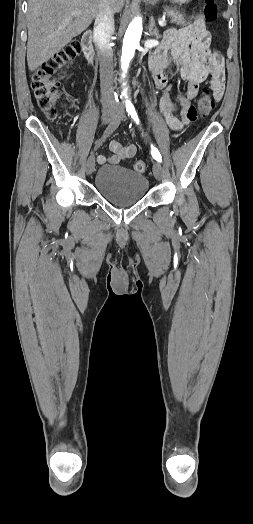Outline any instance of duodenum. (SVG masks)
<instances>
[{"label": "duodenum", "mask_w": 253, "mask_h": 524, "mask_svg": "<svg viewBox=\"0 0 253 524\" xmlns=\"http://www.w3.org/2000/svg\"><path fill=\"white\" fill-rule=\"evenodd\" d=\"M83 52L90 64L95 63V48L92 43L91 31L84 32L82 36Z\"/></svg>", "instance_id": "duodenum-1"}]
</instances>
